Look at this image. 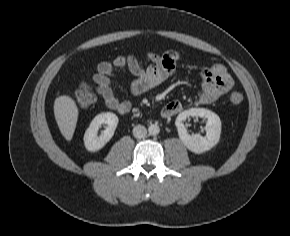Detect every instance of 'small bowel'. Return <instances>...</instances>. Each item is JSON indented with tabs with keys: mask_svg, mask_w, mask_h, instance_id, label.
Segmentation results:
<instances>
[{
	"mask_svg": "<svg viewBox=\"0 0 290 236\" xmlns=\"http://www.w3.org/2000/svg\"><path fill=\"white\" fill-rule=\"evenodd\" d=\"M181 55L176 51H166L162 54L149 52L146 54L147 65H142L134 55H118L112 62H101L93 76L96 92L103 98L106 106L119 114H128L132 104L116 97L111 80L117 74L128 71L135 78L131 84L134 95H142L164 82L176 72ZM201 90L194 99L195 106H203L216 101L233 86V79L227 68L220 63L211 65L201 71ZM179 101L167 103L161 110L163 119H170L182 110Z\"/></svg>",
	"mask_w": 290,
	"mask_h": 236,
	"instance_id": "c3829d8e",
	"label": "small bowel"
}]
</instances>
